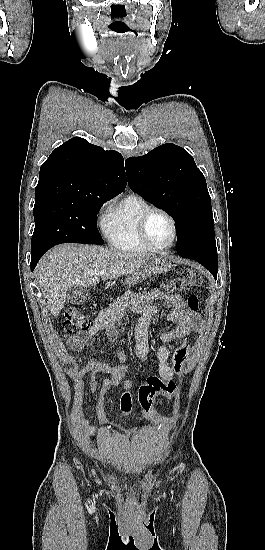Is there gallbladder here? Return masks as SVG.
<instances>
[{"label":"gallbladder","instance_id":"bac80fb5","mask_svg":"<svg viewBox=\"0 0 265 550\" xmlns=\"http://www.w3.org/2000/svg\"><path fill=\"white\" fill-rule=\"evenodd\" d=\"M88 298L89 291L86 287H71L67 292V301L71 304H83Z\"/></svg>","mask_w":265,"mask_h":550}]
</instances>
